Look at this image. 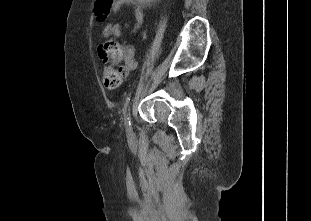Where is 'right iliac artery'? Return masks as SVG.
<instances>
[{
	"label": "right iliac artery",
	"mask_w": 311,
	"mask_h": 221,
	"mask_svg": "<svg viewBox=\"0 0 311 221\" xmlns=\"http://www.w3.org/2000/svg\"><path fill=\"white\" fill-rule=\"evenodd\" d=\"M130 98L126 100V103L124 105V121H125V126L127 130L130 132L132 127H131V119H130Z\"/></svg>",
	"instance_id": "82829eb1"
}]
</instances>
